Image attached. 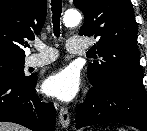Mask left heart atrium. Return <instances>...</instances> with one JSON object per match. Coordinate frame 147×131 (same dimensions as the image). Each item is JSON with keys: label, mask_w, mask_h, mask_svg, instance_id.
<instances>
[{"label": "left heart atrium", "mask_w": 147, "mask_h": 131, "mask_svg": "<svg viewBox=\"0 0 147 131\" xmlns=\"http://www.w3.org/2000/svg\"><path fill=\"white\" fill-rule=\"evenodd\" d=\"M43 87L49 96L68 102L79 93L80 76L73 68H63L47 77Z\"/></svg>", "instance_id": "left-heart-atrium-1"}]
</instances>
